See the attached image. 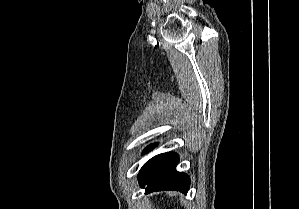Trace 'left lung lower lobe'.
Returning a JSON list of instances; mask_svg holds the SVG:
<instances>
[{
    "mask_svg": "<svg viewBox=\"0 0 299 209\" xmlns=\"http://www.w3.org/2000/svg\"><path fill=\"white\" fill-rule=\"evenodd\" d=\"M156 145H151L146 152ZM178 155L172 152L159 154L147 161L138 174V180L142 188L146 187V193L161 190H179L186 193L189 189L190 178L188 175L177 172Z\"/></svg>",
    "mask_w": 299,
    "mask_h": 209,
    "instance_id": "1",
    "label": "left lung lower lobe"
}]
</instances>
